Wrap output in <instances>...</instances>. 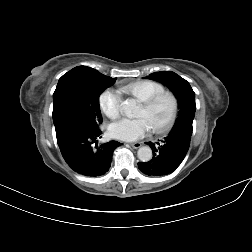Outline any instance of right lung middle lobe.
Returning a JSON list of instances; mask_svg holds the SVG:
<instances>
[{"instance_id":"dd1d6c3e","label":"right lung middle lobe","mask_w":252,"mask_h":252,"mask_svg":"<svg viewBox=\"0 0 252 252\" xmlns=\"http://www.w3.org/2000/svg\"><path fill=\"white\" fill-rule=\"evenodd\" d=\"M114 82L108 76L89 73L60 78L53 94L55 129L67 125L97 129L102 122L99 96Z\"/></svg>"}]
</instances>
